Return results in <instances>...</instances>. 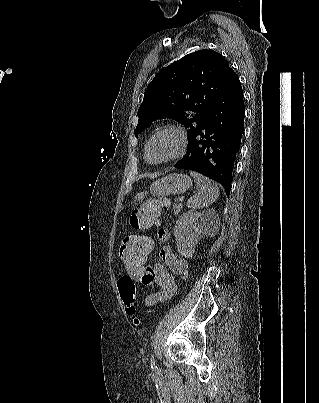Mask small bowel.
Returning a JSON list of instances; mask_svg holds the SVG:
<instances>
[{"instance_id":"small-bowel-1","label":"small bowel","mask_w":319,"mask_h":403,"mask_svg":"<svg viewBox=\"0 0 319 403\" xmlns=\"http://www.w3.org/2000/svg\"><path fill=\"white\" fill-rule=\"evenodd\" d=\"M157 238L161 243H166L170 239V233L167 229L160 228L157 231ZM151 242L150 249L152 253L156 243L152 238ZM159 255L161 262L156 261L151 263L148 271H144L142 278L139 280L142 286H152L154 282L159 286L157 292L151 293L146 297L145 304L147 306H156L169 301L176 292V276L185 277L188 271L187 261L184 258L178 257L171 247L164 245L160 249Z\"/></svg>"}]
</instances>
